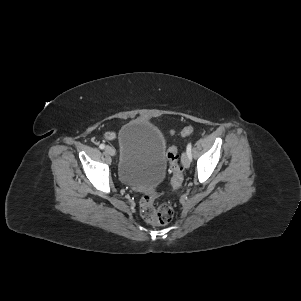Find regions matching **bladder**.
Masks as SVG:
<instances>
[{
	"label": "bladder",
	"instance_id": "obj_1",
	"mask_svg": "<svg viewBox=\"0 0 301 301\" xmlns=\"http://www.w3.org/2000/svg\"><path fill=\"white\" fill-rule=\"evenodd\" d=\"M117 172L123 184L149 188L165 176L166 140L157 126L147 120H133L118 134Z\"/></svg>",
	"mask_w": 301,
	"mask_h": 301
}]
</instances>
